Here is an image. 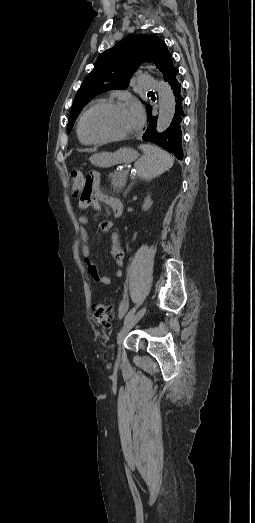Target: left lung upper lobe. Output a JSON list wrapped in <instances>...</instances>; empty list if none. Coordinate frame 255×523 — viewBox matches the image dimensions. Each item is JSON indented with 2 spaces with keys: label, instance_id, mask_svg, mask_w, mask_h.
Listing matches in <instances>:
<instances>
[{
  "label": "left lung upper lobe",
  "instance_id": "left-lung-upper-lobe-1",
  "mask_svg": "<svg viewBox=\"0 0 255 523\" xmlns=\"http://www.w3.org/2000/svg\"><path fill=\"white\" fill-rule=\"evenodd\" d=\"M144 61H152L156 64L157 68L163 73L164 80L167 82L171 80V77L178 74V69L174 67L172 55L169 53L164 41L154 34L129 35L113 48L104 51L97 59L94 69L83 81L71 107L68 120V133H70L83 107L91 99L105 91L126 89L129 84V79L137 69L138 64ZM146 109L150 110V115H147L149 118V116L152 115V106L148 105ZM172 120H175L174 117ZM157 137H159V135H157Z\"/></svg>",
  "mask_w": 255,
  "mask_h": 523
}]
</instances>
